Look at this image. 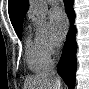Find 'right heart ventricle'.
I'll return each mask as SVG.
<instances>
[{
	"label": "right heart ventricle",
	"mask_w": 89,
	"mask_h": 89,
	"mask_svg": "<svg viewBox=\"0 0 89 89\" xmlns=\"http://www.w3.org/2000/svg\"><path fill=\"white\" fill-rule=\"evenodd\" d=\"M26 61L28 67L34 72L47 71L51 66V61L42 56L35 39L31 38L26 41Z\"/></svg>",
	"instance_id": "obj_1"
}]
</instances>
